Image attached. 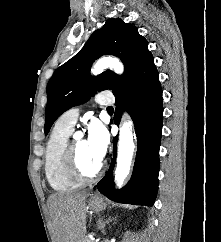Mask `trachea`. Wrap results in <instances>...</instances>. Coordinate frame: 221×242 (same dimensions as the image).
Segmentation results:
<instances>
[{
	"label": "trachea",
	"mask_w": 221,
	"mask_h": 242,
	"mask_svg": "<svg viewBox=\"0 0 221 242\" xmlns=\"http://www.w3.org/2000/svg\"><path fill=\"white\" fill-rule=\"evenodd\" d=\"M107 111H108V112H113V111H114V109H113V107L108 106V107H107Z\"/></svg>",
	"instance_id": "3493384b"
}]
</instances>
